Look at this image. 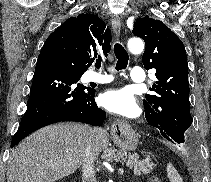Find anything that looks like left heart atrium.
Masks as SVG:
<instances>
[{
	"mask_svg": "<svg viewBox=\"0 0 211 182\" xmlns=\"http://www.w3.org/2000/svg\"><path fill=\"white\" fill-rule=\"evenodd\" d=\"M101 104L110 112L124 117L132 118L139 112L134 96L126 89L107 91L101 97Z\"/></svg>",
	"mask_w": 211,
	"mask_h": 182,
	"instance_id": "left-heart-atrium-1",
	"label": "left heart atrium"
}]
</instances>
